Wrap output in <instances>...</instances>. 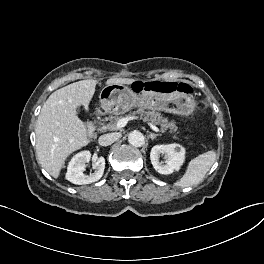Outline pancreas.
Here are the masks:
<instances>
[{"instance_id":"1","label":"pancreas","mask_w":264,"mask_h":264,"mask_svg":"<svg viewBox=\"0 0 264 264\" xmlns=\"http://www.w3.org/2000/svg\"><path fill=\"white\" fill-rule=\"evenodd\" d=\"M138 114L141 118L146 121H149L153 125H159L161 130L167 131L170 133H175L178 131L175 121H169L167 118L163 117L161 113L155 111H145L142 108H139L137 111L131 113L128 117ZM121 119V116H108L103 119H100L98 122L100 131H114L117 129V122Z\"/></svg>"}]
</instances>
